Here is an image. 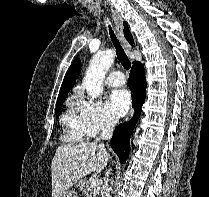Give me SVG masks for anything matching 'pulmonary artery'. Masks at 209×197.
<instances>
[{
    "instance_id": "1",
    "label": "pulmonary artery",
    "mask_w": 209,
    "mask_h": 197,
    "mask_svg": "<svg viewBox=\"0 0 209 197\" xmlns=\"http://www.w3.org/2000/svg\"><path fill=\"white\" fill-rule=\"evenodd\" d=\"M107 84L113 87L123 86L126 82L125 77L120 71H113L106 80Z\"/></svg>"
}]
</instances>
